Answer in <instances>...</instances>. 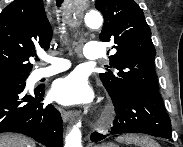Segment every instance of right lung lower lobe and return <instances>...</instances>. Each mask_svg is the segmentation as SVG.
Wrapping results in <instances>:
<instances>
[{
    "mask_svg": "<svg viewBox=\"0 0 183 147\" xmlns=\"http://www.w3.org/2000/svg\"><path fill=\"white\" fill-rule=\"evenodd\" d=\"M25 82L0 85V133L25 134L47 147H62V120L51 104L43 101L44 88L24 91Z\"/></svg>",
    "mask_w": 183,
    "mask_h": 147,
    "instance_id": "right-lung-lower-lobe-1",
    "label": "right lung lower lobe"
}]
</instances>
